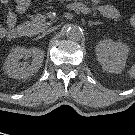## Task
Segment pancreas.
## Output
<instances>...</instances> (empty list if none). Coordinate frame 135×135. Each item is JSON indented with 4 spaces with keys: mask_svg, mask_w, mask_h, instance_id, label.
I'll list each match as a JSON object with an SVG mask.
<instances>
[{
    "mask_svg": "<svg viewBox=\"0 0 135 135\" xmlns=\"http://www.w3.org/2000/svg\"><path fill=\"white\" fill-rule=\"evenodd\" d=\"M45 16L39 15L37 18H33L32 21L25 22L22 27L30 35H35L42 32L46 28Z\"/></svg>",
    "mask_w": 135,
    "mask_h": 135,
    "instance_id": "obj_1",
    "label": "pancreas"
}]
</instances>
